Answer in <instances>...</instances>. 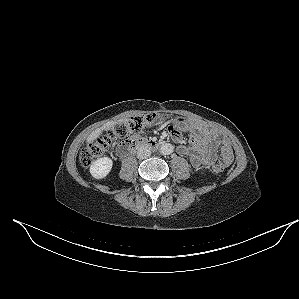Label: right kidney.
Segmentation results:
<instances>
[{"instance_id": "obj_1", "label": "right kidney", "mask_w": 299, "mask_h": 299, "mask_svg": "<svg viewBox=\"0 0 299 299\" xmlns=\"http://www.w3.org/2000/svg\"><path fill=\"white\" fill-rule=\"evenodd\" d=\"M113 161L108 157L99 158L90 166V173L95 179L105 178L111 171Z\"/></svg>"}]
</instances>
